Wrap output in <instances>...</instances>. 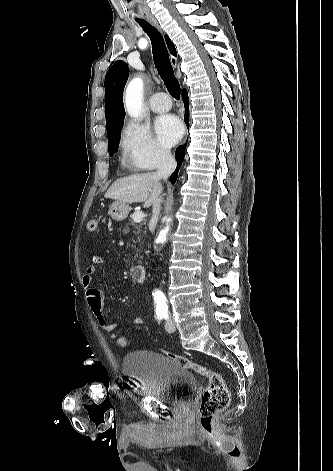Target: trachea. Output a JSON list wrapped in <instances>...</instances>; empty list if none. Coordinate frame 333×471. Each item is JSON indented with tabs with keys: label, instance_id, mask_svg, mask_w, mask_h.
I'll use <instances>...</instances> for the list:
<instances>
[{
	"label": "trachea",
	"instance_id": "1",
	"mask_svg": "<svg viewBox=\"0 0 333 471\" xmlns=\"http://www.w3.org/2000/svg\"><path fill=\"white\" fill-rule=\"evenodd\" d=\"M139 24L143 27L144 31L148 33L151 44L152 53L155 63V67L161 79L163 80L167 90L175 99H180V84L174 75L173 67L171 65L168 50L166 48L163 36L153 26L146 21H139Z\"/></svg>",
	"mask_w": 333,
	"mask_h": 471
}]
</instances>
